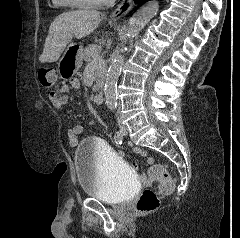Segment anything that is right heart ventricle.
Here are the masks:
<instances>
[{"mask_svg": "<svg viewBox=\"0 0 240 238\" xmlns=\"http://www.w3.org/2000/svg\"><path fill=\"white\" fill-rule=\"evenodd\" d=\"M53 4L58 7H73L67 4L64 0H52Z\"/></svg>", "mask_w": 240, "mask_h": 238, "instance_id": "right-heart-ventricle-1", "label": "right heart ventricle"}]
</instances>
